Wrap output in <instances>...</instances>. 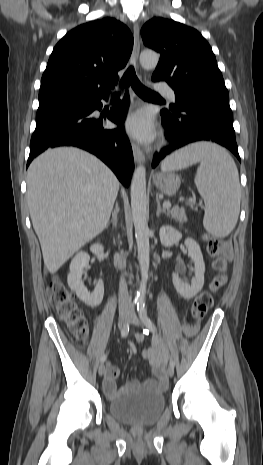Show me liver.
Wrapping results in <instances>:
<instances>
[{"instance_id": "obj_1", "label": "liver", "mask_w": 263, "mask_h": 465, "mask_svg": "<svg viewBox=\"0 0 263 465\" xmlns=\"http://www.w3.org/2000/svg\"><path fill=\"white\" fill-rule=\"evenodd\" d=\"M119 190L114 173L74 147L50 149L27 172V202L51 274L107 226Z\"/></svg>"}]
</instances>
